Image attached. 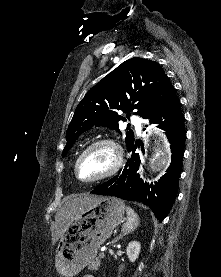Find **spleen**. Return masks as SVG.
I'll use <instances>...</instances> for the list:
<instances>
[{
	"label": "spleen",
	"instance_id": "spleen-1",
	"mask_svg": "<svg viewBox=\"0 0 221 277\" xmlns=\"http://www.w3.org/2000/svg\"><path fill=\"white\" fill-rule=\"evenodd\" d=\"M126 214H127V220L122 227V232L124 233V235L135 230V228L139 225L138 215L134 212L132 208L126 207Z\"/></svg>",
	"mask_w": 221,
	"mask_h": 277
}]
</instances>
